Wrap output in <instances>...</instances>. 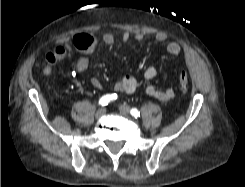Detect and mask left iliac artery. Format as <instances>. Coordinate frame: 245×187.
Listing matches in <instances>:
<instances>
[{
    "label": "left iliac artery",
    "mask_w": 245,
    "mask_h": 187,
    "mask_svg": "<svg viewBox=\"0 0 245 187\" xmlns=\"http://www.w3.org/2000/svg\"><path fill=\"white\" fill-rule=\"evenodd\" d=\"M131 115L135 118L140 117V112L136 108H132L130 111Z\"/></svg>",
    "instance_id": "obj_1"
}]
</instances>
